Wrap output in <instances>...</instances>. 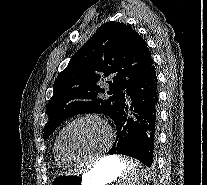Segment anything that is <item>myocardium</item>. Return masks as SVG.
Masks as SVG:
<instances>
[{
  "mask_svg": "<svg viewBox=\"0 0 207 185\" xmlns=\"http://www.w3.org/2000/svg\"><path fill=\"white\" fill-rule=\"evenodd\" d=\"M83 120H96L99 121L100 123H102L108 130L109 132V136L110 138H114L115 137V130L113 128V126L104 118L98 116V115H93V114H86V115H82L78 118H75L74 120H72L70 123H68L66 125V127L64 128L62 134H61V149L63 151V153L71 160L73 161H83V160H88V159H94V158H99L103 156L104 151H99L96 153H91V154H86V155H79L76 156L74 155L68 148L67 145V135L70 131V129L78 122L83 121Z\"/></svg>",
  "mask_w": 207,
  "mask_h": 185,
  "instance_id": "myocardium-1",
  "label": "myocardium"
}]
</instances>
